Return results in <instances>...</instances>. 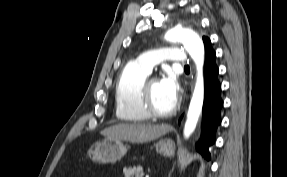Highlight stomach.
<instances>
[{"mask_svg":"<svg viewBox=\"0 0 287 177\" xmlns=\"http://www.w3.org/2000/svg\"><path fill=\"white\" fill-rule=\"evenodd\" d=\"M157 153L169 157L174 154V143L171 139H161L156 143ZM127 152V147L122 140L104 139L96 142L89 149V156L92 161L98 163H115Z\"/></svg>","mask_w":287,"mask_h":177,"instance_id":"0dacf381","label":"stomach"}]
</instances>
